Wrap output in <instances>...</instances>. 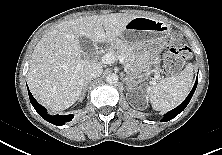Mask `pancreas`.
<instances>
[{"mask_svg": "<svg viewBox=\"0 0 222 155\" xmlns=\"http://www.w3.org/2000/svg\"><path fill=\"white\" fill-rule=\"evenodd\" d=\"M134 51V47L118 42L112 48L109 49L108 53L116 55L117 57L122 56L127 67H131L135 62Z\"/></svg>", "mask_w": 222, "mask_h": 155, "instance_id": "obj_1", "label": "pancreas"}]
</instances>
